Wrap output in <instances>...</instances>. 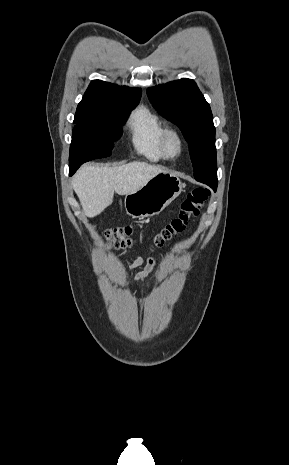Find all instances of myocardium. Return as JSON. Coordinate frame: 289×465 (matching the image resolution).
Masks as SVG:
<instances>
[{
    "label": "myocardium",
    "mask_w": 289,
    "mask_h": 465,
    "mask_svg": "<svg viewBox=\"0 0 289 465\" xmlns=\"http://www.w3.org/2000/svg\"><path fill=\"white\" fill-rule=\"evenodd\" d=\"M172 139L176 140L178 146L175 153H171L169 150V144ZM184 145V138L180 131L173 127H165L161 136V151L166 159H177L182 154Z\"/></svg>",
    "instance_id": "obj_1"
}]
</instances>
